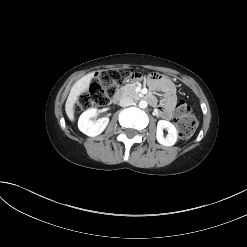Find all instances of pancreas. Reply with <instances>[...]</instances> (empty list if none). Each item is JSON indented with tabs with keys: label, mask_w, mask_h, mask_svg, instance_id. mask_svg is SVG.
Listing matches in <instances>:
<instances>
[{
	"label": "pancreas",
	"mask_w": 247,
	"mask_h": 247,
	"mask_svg": "<svg viewBox=\"0 0 247 247\" xmlns=\"http://www.w3.org/2000/svg\"><path fill=\"white\" fill-rule=\"evenodd\" d=\"M136 85L134 84H127L126 86L122 87L124 93L129 94L131 96H137L138 93L135 91Z\"/></svg>",
	"instance_id": "cf45deb5"
}]
</instances>
